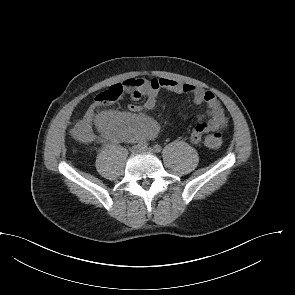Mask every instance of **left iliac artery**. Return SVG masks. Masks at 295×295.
I'll return each mask as SVG.
<instances>
[{"instance_id":"left-iliac-artery-1","label":"left iliac artery","mask_w":295,"mask_h":295,"mask_svg":"<svg viewBox=\"0 0 295 295\" xmlns=\"http://www.w3.org/2000/svg\"><path fill=\"white\" fill-rule=\"evenodd\" d=\"M153 148H154V151H155L156 153H159V152H161V150H162V147H161L160 145H158V144H155V145L153 146Z\"/></svg>"}]
</instances>
